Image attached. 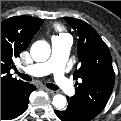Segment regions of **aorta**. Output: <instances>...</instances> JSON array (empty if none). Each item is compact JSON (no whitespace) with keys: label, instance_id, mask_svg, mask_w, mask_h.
Listing matches in <instances>:
<instances>
[{"label":"aorta","instance_id":"obj_1","mask_svg":"<svg viewBox=\"0 0 121 121\" xmlns=\"http://www.w3.org/2000/svg\"><path fill=\"white\" fill-rule=\"evenodd\" d=\"M50 52V45L44 40L36 41L30 49L31 57L36 62L46 61L50 56ZM66 103V97L61 94H57L53 97L52 104L58 110L63 109Z\"/></svg>","mask_w":121,"mask_h":121}]
</instances>
